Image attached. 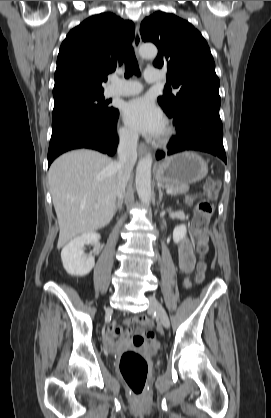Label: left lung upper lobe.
Masks as SVG:
<instances>
[{"label":"left lung upper lobe","mask_w":271,"mask_h":418,"mask_svg":"<svg viewBox=\"0 0 271 418\" xmlns=\"http://www.w3.org/2000/svg\"><path fill=\"white\" fill-rule=\"evenodd\" d=\"M140 33L144 42L158 47L154 66L167 67V82L179 90L158 98L168 116L191 106L220 108L214 60L197 29L174 14L157 11L143 20Z\"/></svg>","instance_id":"1"}]
</instances>
